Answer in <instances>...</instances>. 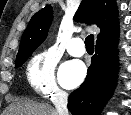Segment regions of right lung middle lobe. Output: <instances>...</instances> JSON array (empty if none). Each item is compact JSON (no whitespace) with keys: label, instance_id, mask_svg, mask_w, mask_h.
Here are the masks:
<instances>
[{"label":"right lung middle lobe","instance_id":"right-lung-middle-lobe-1","mask_svg":"<svg viewBox=\"0 0 131 115\" xmlns=\"http://www.w3.org/2000/svg\"><path fill=\"white\" fill-rule=\"evenodd\" d=\"M34 50L35 49L28 50L25 53H23L22 55L17 56L15 67L17 68V67L21 66L31 56V54Z\"/></svg>","mask_w":131,"mask_h":115}]
</instances>
